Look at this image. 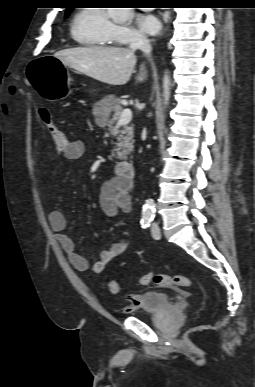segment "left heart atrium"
<instances>
[{"instance_id": "obj_1", "label": "left heart atrium", "mask_w": 255, "mask_h": 387, "mask_svg": "<svg viewBox=\"0 0 255 387\" xmlns=\"http://www.w3.org/2000/svg\"><path fill=\"white\" fill-rule=\"evenodd\" d=\"M139 28L146 34L155 35L160 31L159 20L151 14L139 15L137 18Z\"/></svg>"}]
</instances>
